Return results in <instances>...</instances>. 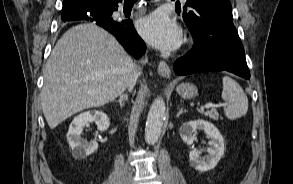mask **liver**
I'll return each mask as SVG.
<instances>
[{"instance_id":"1","label":"liver","mask_w":293,"mask_h":184,"mask_svg":"<svg viewBox=\"0 0 293 184\" xmlns=\"http://www.w3.org/2000/svg\"><path fill=\"white\" fill-rule=\"evenodd\" d=\"M134 71L132 58L109 32L93 23L73 26L58 40L44 68L40 96L49 127L113 101Z\"/></svg>"}]
</instances>
